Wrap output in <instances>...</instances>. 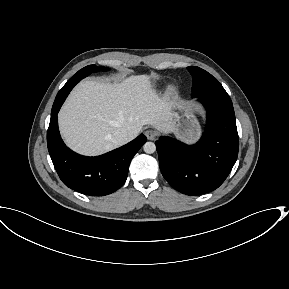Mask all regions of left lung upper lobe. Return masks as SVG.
Returning <instances> with one entry per match:
<instances>
[{"mask_svg":"<svg viewBox=\"0 0 289 289\" xmlns=\"http://www.w3.org/2000/svg\"><path fill=\"white\" fill-rule=\"evenodd\" d=\"M187 69L193 78L192 97L211 96L230 100L222 85L207 71L195 66L187 67Z\"/></svg>","mask_w":289,"mask_h":289,"instance_id":"left-lung-upper-lobe-1","label":"left lung upper lobe"}]
</instances>
